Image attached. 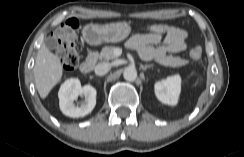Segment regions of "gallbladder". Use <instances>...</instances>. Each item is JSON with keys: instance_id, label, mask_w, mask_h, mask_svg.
Segmentation results:
<instances>
[{"instance_id": "obj_1", "label": "gallbladder", "mask_w": 244, "mask_h": 157, "mask_svg": "<svg viewBox=\"0 0 244 157\" xmlns=\"http://www.w3.org/2000/svg\"><path fill=\"white\" fill-rule=\"evenodd\" d=\"M45 44L50 49H56L58 47L57 40L53 37H47L45 40Z\"/></svg>"}]
</instances>
